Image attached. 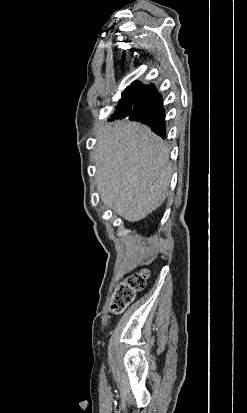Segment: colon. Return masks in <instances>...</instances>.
<instances>
[{
	"instance_id": "5ec220e1",
	"label": "colon",
	"mask_w": 247,
	"mask_h": 413,
	"mask_svg": "<svg viewBox=\"0 0 247 413\" xmlns=\"http://www.w3.org/2000/svg\"><path fill=\"white\" fill-rule=\"evenodd\" d=\"M148 276L149 270L143 268L129 274L117 284L114 300L111 304V310L114 314L123 312L133 302L136 292L145 288Z\"/></svg>"
}]
</instances>
